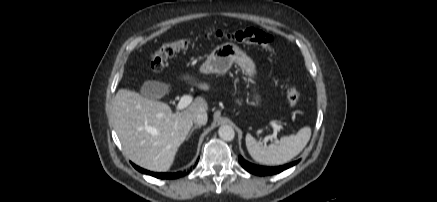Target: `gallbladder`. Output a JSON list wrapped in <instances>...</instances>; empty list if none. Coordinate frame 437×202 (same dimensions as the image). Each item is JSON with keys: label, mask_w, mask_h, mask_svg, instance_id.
Masks as SVG:
<instances>
[{"label": "gallbladder", "mask_w": 437, "mask_h": 202, "mask_svg": "<svg viewBox=\"0 0 437 202\" xmlns=\"http://www.w3.org/2000/svg\"><path fill=\"white\" fill-rule=\"evenodd\" d=\"M167 92V85L154 80L145 81L140 89V94L148 99L156 100Z\"/></svg>", "instance_id": "obj_1"}]
</instances>
